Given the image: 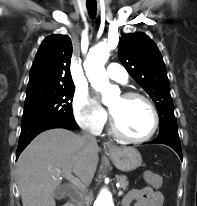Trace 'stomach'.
I'll use <instances>...</instances> for the list:
<instances>
[{"mask_svg":"<svg viewBox=\"0 0 197 206\" xmlns=\"http://www.w3.org/2000/svg\"><path fill=\"white\" fill-rule=\"evenodd\" d=\"M107 155L116 168L124 172L133 171L142 164V156L134 147L116 148Z\"/></svg>","mask_w":197,"mask_h":206,"instance_id":"0dacf381","label":"stomach"}]
</instances>
